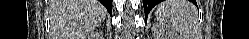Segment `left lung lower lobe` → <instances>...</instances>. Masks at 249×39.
Returning a JSON list of instances; mask_svg holds the SVG:
<instances>
[{"label": "left lung lower lobe", "instance_id": "1", "mask_svg": "<svg viewBox=\"0 0 249 39\" xmlns=\"http://www.w3.org/2000/svg\"><path fill=\"white\" fill-rule=\"evenodd\" d=\"M162 0H143V6H144V11H145V17L147 20L148 14L150 12V10L159 2H161ZM193 3L196 4V1H193Z\"/></svg>", "mask_w": 249, "mask_h": 39}]
</instances>
